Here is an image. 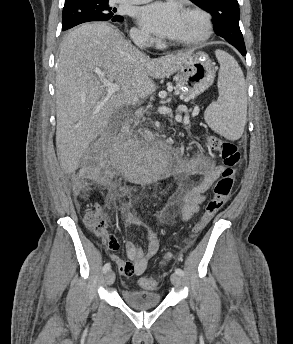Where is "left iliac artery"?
Segmentation results:
<instances>
[{
	"mask_svg": "<svg viewBox=\"0 0 293 344\" xmlns=\"http://www.w3.org/2000/svg\"><path fill=\"white\" fill-rule=\"evenodd\" d=\"M175 273H176L177 275H179V276H183V275H184L183 270L180 269V268H176V269H175Z\"/></svg>",
	"mask_w": 293,
	"mask_h": 344,
	"instance_id": "obj_1",
	"label": "left iliac artery"
}]
</instances>
